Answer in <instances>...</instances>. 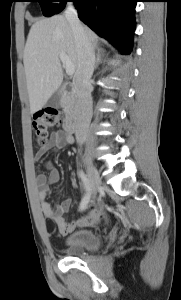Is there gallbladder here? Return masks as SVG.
<instances>
[{"mask_svg":"<svg viewBox=\"0 0 181 300\" xmlns=\"http://www.w3.org/2000/svg\"><path fill=\"white\" fill-rule=\"evenodd\" d=\"M60 101H61V92L60 90H57L47 100L46 106L51 108H58L60 106Z\"/></svg>","mask_w":181,"mask_h":300,"instance_id":"obj_1","label":"gallbladder"}]
</instances>
